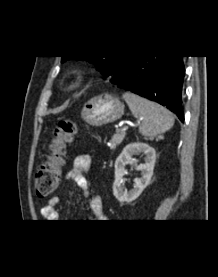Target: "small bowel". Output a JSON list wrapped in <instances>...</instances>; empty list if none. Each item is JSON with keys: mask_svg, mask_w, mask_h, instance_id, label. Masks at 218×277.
I'll list each match as a JSON object with an SVG mask.
<instances>
[{"mask_svg": "<svg viewBox=\"0 0 218 277\" xmlns=\"http://www.w3.org/2000/svg\"><path fill=\"white\" fill-rule=\"evenodd\" d=\"M92 161L88 155H78L72 162L71 169L66 173L65 178L72 180L81 189L84 198L90 199V218L95 220H101L104 218L102 199L98 195H92V191L85 178V174L91 169ZM59 203L58 197H52L49 199L46 206L41 208V215L45 220L53 222L59 219V213L57 212V206Z\"/></svg>", "mask_w": 218, "mask_h": 277, "instance_id": "1", "label": "small bowel"}]
</instances>
